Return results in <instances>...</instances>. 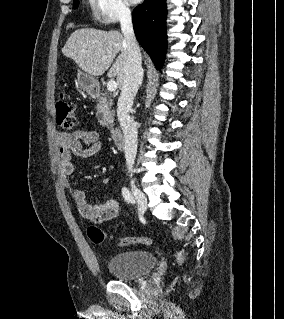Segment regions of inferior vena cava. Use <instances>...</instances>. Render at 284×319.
Returning <instances> with one entry per match:
<instances>
[{
    "mask_svg": "<svg viewBox=\"0 0 284 319\" xmlns=\"http://www.w3.org/2000/svg\"><path fill=\"white\" fill-rule=\"evenodd\" d=\"M120 24L127 46L128 64L117 103V117L125 139L126 165L129 169H132L137 152V127L133 118L130 117L129 111L142 83L143 69L141 66V52L134 34L129 9L121 10Z\"/></svg>",
    "mask_w": 284,
    "mask_h": 319,
    "instance_id": "inferior-vena-cava-1",
    "label": "inferior vena cava"
}]
</instances>
